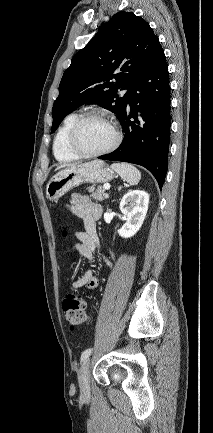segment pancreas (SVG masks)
<instances>
[{
    "label": "pancreas",
    "instance_id": "obj_1",
    "mask_svg": "<svg viewBox=\"0 0 213 433\" xmlns=\"http://www.w3.org/2000/svg\"><path fill=\"white\" fill-rule=\"evenodd\" d=\"M89 192H91V197L93 198V200L95 201H103L106 197L107 194L105 193V189L102 186H98L96 189L91 186L88 188Z\"/></svg>",
    "mask_w": 213,
    "mask_h": 433
}]
</instances>
